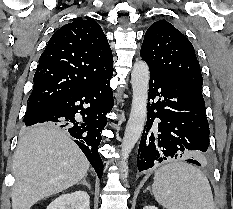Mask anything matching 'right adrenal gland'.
<instances>
[{
    "label": "right adrenal gland",
    "mask_w": 233,
    "mask_h": 209,
    "mask_svg": "<svg viewBox=\"0 0 233 209\" xmlns=\"http://www.w3.org/2000/svg\"><path fill=\"white\" fill-rule=\"evenodd\" d=\"M86 178H87V174L84 176V178H83V180H82L81 182L77 183V185L83 184V185L87 186L88 189L90 190V189H91V186H90V184L86 181Z\"/></svg>",
    "instance_id": "obj_1"
}]
</instances>
